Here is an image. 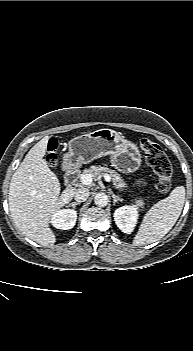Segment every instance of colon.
Here are the masks:
<instances>
[{
	"label": "colon",
	"mask_w": 193,
	"mask_h": 351,
	"mask_svg": "<svg viewBox=\"0 0 193 351\" xmlns=\"http://www.w3.org/2000/svg\"><path fill=\"white\" fill-rule=\"evenodd\" d=\"M139 146L146 156L148 165L153 169L157 175L156 187L159 192L167 193L172 186V165L168 160L162 148L145 138L139 139ZM57 143L51 140L48 144V162L51 166H56L58 163V156L56 153Z\"/></svg>",
	"instance_id": "colon-1"
}]
</instances>
